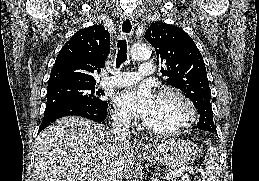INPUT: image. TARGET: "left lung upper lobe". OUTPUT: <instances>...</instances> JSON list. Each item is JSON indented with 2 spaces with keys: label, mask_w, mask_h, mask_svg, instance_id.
<instances>
[{
  "label": "left lung upper lobe",
  "mask_w": 259,
  "mask_h": 181,
  "mask_svg": "<svg viewBox=\"0 0 259 181\" xmlns=\"http://www.w3.org/2000/svg\"><path fill=\"white\" fill-rule=\"evenodd\" d=\"M145 39L155 48L157 61L167 82L180 90L193 102L200 115L198 127L216 131L210 104L211 92L203 57L192 38L181 28L156 22L145 32Z\"/></svg>",
  "instance_id": "obj_1"
}]
</instances>
